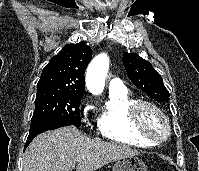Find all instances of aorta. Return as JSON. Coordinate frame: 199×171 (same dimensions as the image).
Here are the masks:
<instances>
[{"mask_svg": "<svg viewBox=\"0 0 199 171\" xmlns=\"http://www.w3.org/2000/svg\"><path fill=\"white\" fill-rule=\"evenodd\" d=\"M108 69L109 58L104 53L90 62L86 71V86L92 94L99 95L103 92Z\"/></svg>", "mask_w": 199, "mask_h": 171, "instance_id": "762f6f07", "label": "aorta"}]
</instances>
